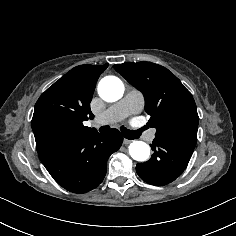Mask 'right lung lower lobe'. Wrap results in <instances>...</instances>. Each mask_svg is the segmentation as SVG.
I'll use <instances>...</instances> for the list:
<instances>
[{"instance_id": "1", "label": "right lung lower lobe", "mask_w": 236, "mask_h": 236, "mask_svg": "<svg viewBox=\"0 0 236 236\" xmlns=\"http://www.w3.org/2000/svg\"><path fill=\"white\" fill-rule=\"evenodd\" d=\"M123 142L117 129L108 134L92 132L68 137L38 151L54 180L73 193H86L97 187L106 175V162Z\"/></svg>"}]
</instances>
